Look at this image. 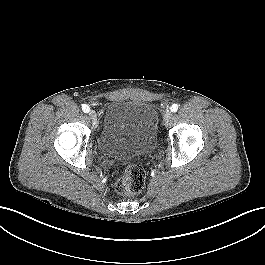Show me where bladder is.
<instances>
[{
  "label": "bladder",
  "instance_id": "bladder-1",
  "mask_svg": "<svg viewBox=\"0 0 265 265\" xmlns=\"http://www.w3.org/2000/svg\"><path fill=\"white\" fill-rule=\"evenodd\" d=\"M158 112L148 102L111 101L98 148L106 156L132 159L150 153L157 143Z\"/></svg>",
  "mask_w": 265,
  "mask_h": 265
}]
</instances>
